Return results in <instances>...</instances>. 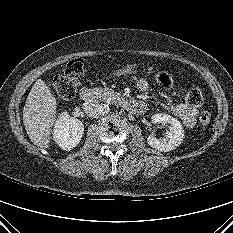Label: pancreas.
Here are the masks:
<instances>
[{"mask_svg": "<svg viewBox=\"0 0 233 233\" xmlns=\"http://www.w3.org/2000/svg\"><path fill=\"white\" fill-rule=\"evenodd\" d=\"M93 91L95 92L97 98H100L106 102L115 101L116 99H119L120 97L119 93L109 88H95L93 89Z\"/></svg>", "mask_w": 233, "mask_h": 233, "instance_id": "pancreas-1", "label": "pancreas"}]
</instances>
